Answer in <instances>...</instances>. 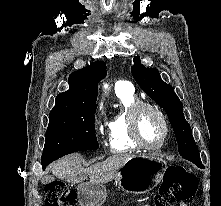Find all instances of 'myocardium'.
Segmentation results:
<instances>
[{"instance_id": "f54148a6", "label": "myocardium", "mask_w": 221, "mask_h": 206, "mask_svg": "<svg viewBox=\"0 0 221 206\" xmlns=\"http://www.w3.org/2000/svg\"><path fill=\"white\" fill-rule=\"evenodd\" d=\"M142 109H150L154 113L158 115L160 118L162 124H163V138L160 143L157 145H148L144 142V140L141 137L140 131H139V125H138V119L139 114ZM128 124H129V130L131 134V138L133 142L141 149L147 150V151H157L163 148V146L166 144L168 136H169V124L168 120L164 114V112L155 104L146 102V101H137L135 102L130 110H129V116H128Z\"/></svg>"}]
</instances>
